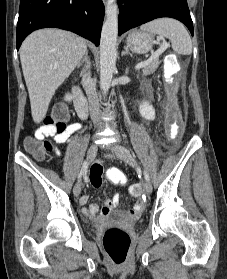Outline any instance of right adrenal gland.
<instances>
[{
    "instance_id": "right-adrenal-gland-1",
    "label": "right adrenal gland",
    "mask_w": 227,
    "mask_h": 279,
    "mask_svg": "<svg viewBox=\"0 0 227 279\" xmlns=\"http://www.w3.org/2000/svg\"><path fill=\"white\" fill-rule=\"evenodd\" d=\"M81 66H83V68L80 75H82L84 72H86L91 68V61H90V57L88 56V50H86L84 58L77 65L78 68Z\"/></svg>"
}]
</instances>
